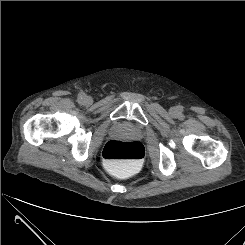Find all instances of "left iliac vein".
<instances>
[{"label": "left iliac vein", "instance_id": "1", "mask_svg": "<svg viewBox=\"0 0 245 245\" xmlns=\"http://www.w3.org/2000/svg\"><path fill=\"white\" fill-rule=\"evenodd\" d=\"M171 113H172V114H175V113H176V108H172V109H171Z\"/></svg>", "mask_w": 245, "mask_h": 245}]
</instances>
